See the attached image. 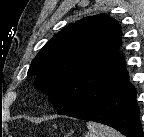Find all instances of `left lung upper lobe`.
Wrapping results in <instances>:
<instances>
[{
  "label": "left lung upper lobe",
  "mask_w": 144,
  "mask_h": 137,
  "mask_svg": "<svg viewBox=\"0 0 144 137\" xmlns=\"http://www.w3.org/2000/svg\"><path fill=\"white\" fill-rule=\"evenodd\" d=\"M118 22L105 14L85 17L57 33L37 54L28 70L34 87L63 108L92 89L123 64Z\"/></svg>",
  "instance_id": "left-lung-upper-lobe-1"
}]
</instances>
